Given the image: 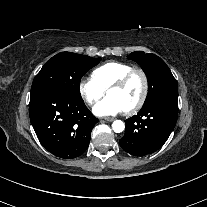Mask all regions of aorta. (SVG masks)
<instances>
[{
  "label": "aorta",
  "instance_id": "aorta-1",
  "mask_svg": "<svg viewBox=\"0 0 207 207\" xmlns=\"http://www.w3.org/2000/svg\"><path fill=\"white\" fill-rule=\"evenodd\" d=\"M112 129L114 130V132L116 133H120L123 132L125 129V124L123 121L121 120H116L112 123Z\"/></svg>",
  "mask_w": 207,
  "mask_h": 207
}]
</instances>
